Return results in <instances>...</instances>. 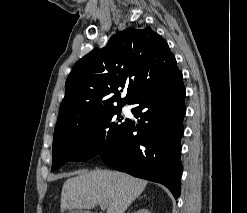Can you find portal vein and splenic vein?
Wrapping results in <instances>:
<instances>
[{
    "label": "portal vein and splenic vein",
    "mask_w": 247,
    "mask_h": 213,
    "mask_svg": "<svg viewBox=\"0 0 247 213\" xmlns=\"http://www.w3.org/2000/svg\"><path fill=\"white\" fill-rule=\"evenodd\" d=\"M99 204H100L101 208H103L105 205L103 202H100Z\"/></svg>",
    "instance_id": "1"
}]
</instances>
